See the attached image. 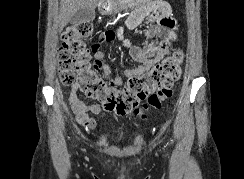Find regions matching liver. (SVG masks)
<instances>
[{
    "instance_id": "1",
    "label": "liver",
    "mask_w": 244,
    "mask_h": 179,
    "mask_svg": "<svg viewBox=\"0 0 244 179\" xmlns=\"http://www.w3.org/2000/svg\"><path fill=\"white\" fill-rule=\"evenodd\" d=\"M102 2H104V0H61L59 16L61 28L66 26L67 22L71 20L77 10H81V8H91V10H94V8L102 4Z\"/></svg>"
}]
</instances>
